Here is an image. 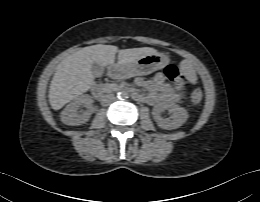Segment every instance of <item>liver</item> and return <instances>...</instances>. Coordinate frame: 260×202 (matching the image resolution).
I'll list each match as a JSON object with an SVG mask.
<instances>
[{
	"instance_id": "1",
	"label": "liver",
	"mask_w": 260,
	"mask_h": 202,
	"mask_svg": "<svg viewBox=\"0 0 260 202\" xmlns=\"http://www.w3.org/2000/svg\"><path fill=\"white\" fill-rule=\"evenodd\" d=\"M117 52L119 64H130L145 55L157 53V50L150 47L118 50L117 46L98 44L74 52L62 60L52 78L48 96L52 109L59 110L87 92L94 83L92 63L102 67L112 65Z\"/></svg>"
}]
</instances>
